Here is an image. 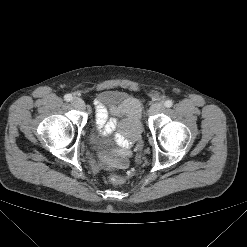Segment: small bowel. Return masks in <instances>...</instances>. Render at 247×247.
Masks as SVG:
<instances>
[{"label":"small bowel","instance_id":"1","mask_svg":"<svg viewBox=\"0 0 247 247\" xmlns=\"http://www.w3.org/2000/svg\"><path fill=\"white\" fill-rule=\"evenodd\" d=\"M121 118L122 129L125 134L130 138H136L140 129V102L135 98H128L124 101L121 107H119L114 115L108 118V115L105 110L101 109L96 105V124L100 127L105 126L106 130L112 129L117 118ZM125 152L127 155L128 144H124Z\"/></svg>","mask_w":247,"mask_h":247}]
</instances>
